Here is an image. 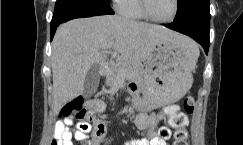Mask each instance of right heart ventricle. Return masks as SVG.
<instances>
[{
    "label": "right heart ventricle",
    "instance_id": "right-heart-ventricle-1",
    "mask_svg": "<svg viewBox=\"0 0 243 145\" xmlns=\"http://www.w3.org/2000/svg\"><path fill=\"white\" fill-rule=\"evenodd\" d=\"M117 8L119 13L126 18L133 20L146 19L140 9L139 0H121Z\"/></svg>",
    "mask_w": 243,
    "mask_h": 145
}]
</instances>
